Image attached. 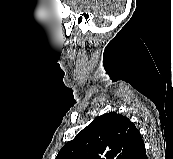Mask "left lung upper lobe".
<instances>
[{
	"instance_id": "left-lung-upper-lobe-1",
	"label": "left lung upper lobe",
	"mask_w": 173,
	"mask_h": 159,
	"mask_svg": "<svg viewBox=\"0 0 173 159\" xmlns=\"http://www.w3.org/2000/svg\"><path fill=\"white\" fill-rule=\"evenodd\" d=\"M142 143L133 122L110 112L95 118L55 159H129Z\"/></svg>"
}]
</instances>
